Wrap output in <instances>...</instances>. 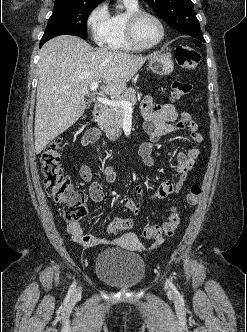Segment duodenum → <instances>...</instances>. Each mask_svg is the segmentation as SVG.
Returning a JSON list of instances; mask_svg holds the SVG:
<instances>
[{
  "label": "duodenum",
  "mask_w": 247,
  "mask_h": 332,
  "mask_svg": "<svg viewBox=\"0 0 247 332\" xmlns=\"http://www.w3.org/2000/svg\"><path fill=\"white\" fill-rule=\"evenodd\" d=\"M104 114H105V107H104V105L97 104L94 107V110H93V115H94L95 120L97 122H100L103 119Z\"/></svg>",
  "instance_id": "duodenum-1"
}]
</instances>
